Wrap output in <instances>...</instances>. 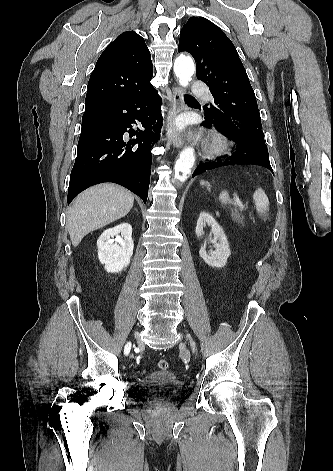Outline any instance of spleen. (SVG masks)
<instances>
[{
    "label": "spleen",
    "instance_id": "3e777b00",
    "mask_svg": "<svg viewBox=\"0 0 333 471\" xmlns=\"http://www.w3.org/2000/svg\"><path fill=\"white\" fill-rule=\"evenodd\" d=\"M220 200L222 203H228L229 202V194L226 191H223L220 196ZM253 200L257 209L258 213H265L269 209V200L265 192L261 189L258 188L254 194H253Z\"/></svg>",
    "mask_w": 333,
    "mask_h": 471
}]
</instances>
